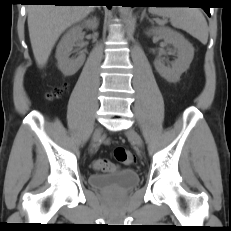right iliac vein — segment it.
<instances>
[{
    "instance_id": "1",
    "label": "right iliac vein",
    "mask_w": 231,
    "mask_h": 231,
    "mask_svg": "<svg viewBox=\"0 0 231 231\" xmlns=\"http://www.w3.org/2000/svg\"><path fill=\"white\" fill-rule=\"evenodd\" d=\"M102 132H103V130L100 127L97 128L96 131L94 132L93 137H92V145L93 146H95L97 144V142L99 141Z\"/></svg>"
}]
</instances>
